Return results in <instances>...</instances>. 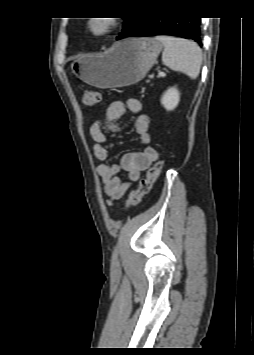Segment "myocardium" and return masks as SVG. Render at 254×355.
<instances>
[{"instance_id":"f54148a6","label":"myocardium","mask_w":254,"mask_h":355,"mask_svg":"<svg viewBox=\"0 0 254 355\" xmlns=\"http://www.w3.org/2000/svg\"><path fill=\"white\" fill-rule=\"evenodd\" d=\"M117 23L118 20L114 17H91L87 21V31L93 37H105L113 32V30L117 26Z\"/></svg>"}]
</instances>
